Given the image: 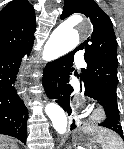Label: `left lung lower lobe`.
I'll list each match as a JSON object with an SVG mask.
<instances>
[{
    "instance_id": "1",
    "label": "left lung lower lobe",
    "mask_w": 124,
    "mask_h": 149,
    "mask_svg": "<svg viewBox=\"0 0 124 149\" xmlns=\"http://www.w3.org/2000/svg\"><path fill=\"white\" fill-rule=\"evenodd\" d=\"M74 52H70L57 60L49 62L43 70V86L47 96L55 100L70 115L69 95L73 88L69 82V75L73 71ZM82 89L85 95L98 101L103 106L106 119L100 125L116 132L123 140V130L120 123V116L116 98L109 91L98 86L91 85L82 80ZM76 128L75 121L71 125V130Z\"/></svg>"
}]
</instances>
